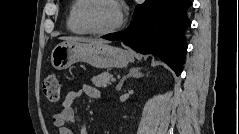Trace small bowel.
Wrapping results in <instances>:
<instances>
[{"label":"small bowel","instance_id":"small-bowel-1","mask_svg":"<svg viewBox=\"0 0 239 134\" xmlns=\"http://www.w3.org/2000/svg\"><path fill=\"white\" fill-rule=\"evenodd\" d=\"M83 93L91 99H99L101 97L100 91L90 85H84L81 89L70 91L65 96L60 110L53 116V123L56 127H58L59 134H73L67 125L76 121L73 104ZM80 134H87V130L84 126L81 127Z\"/></svg>","mask_w":239,"mask_h":134}]
</instances>
